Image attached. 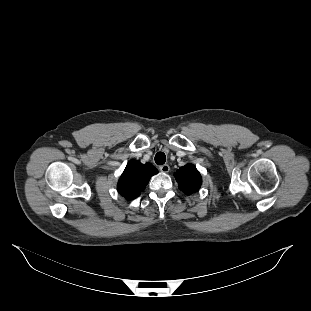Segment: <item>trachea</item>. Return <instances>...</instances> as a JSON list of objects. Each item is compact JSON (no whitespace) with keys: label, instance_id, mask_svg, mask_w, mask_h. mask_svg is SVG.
I'll return each mask as SVG.
<instances>
[{"label":"trachea","instance_id":"3493384b","mask_svg":"<svg viewBox=\"0 0 311 311\" xmlns=\"http://www.w3.org/2000/svg\"><path fill=\"white\" fill-rule=\"evenodd\" d=\"M166 161V156L163 152H158L156 155H155V162L156 164L158 165H163Z\"/></svg>","mask_w":311,"mask_h":311}]
</instances>
